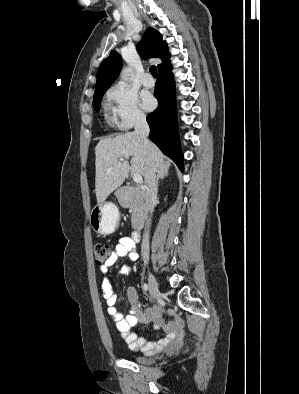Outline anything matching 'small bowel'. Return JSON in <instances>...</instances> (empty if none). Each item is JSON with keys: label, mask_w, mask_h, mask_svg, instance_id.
<instances>
[{"label": "small bowel", "mask_w": 299, "mask_h": 394, "mask_svg": "<svg viewBox=\"0 0 299 394\" xmlns=\"http://www.w3.org/2000/svg\"><path fill=\"white\" fill-rule=\"evenodd\" d=\"M135 241L131 236H120L112 252L110 259L100 267L102 273V291L108 305V313L113 318L117 330L121 333L128 347L132 350H140L146 356L153 355L166 349H172L177 346L182 337V321L176 318L174 321L165 323L162 318L160 307L145 310L140 300L139 293L135 287L127 289V298L131 305V311L124 317L116 308L118 295L114 291L111 282V269L116 265L120 258L127 257L132 263H136L138 255L134 252ZM127 267L118 270L119 274H126ZM170 314L174 313L170 311ZM153 323L155 329H162L165 337L157 341H147L144 337L132 331L137 323Z\"/></svg>", "instance_id": "obj_1"}]
</instances>
